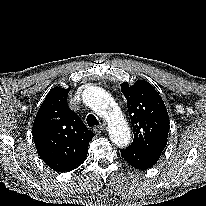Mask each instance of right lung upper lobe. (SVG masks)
Masks as SVG:
<instances>
[{"mask_svg": "<svg viewBox=\"0 0 206 206\" xmlns=\"http://www.w3.org/2000/svg\"><path fill=\"white\" fill-rule=\"evenodd\" d=\"M70 88L54 87L35 117L32 133L38 154L54 171L68 172L87 156L94 133L67 103Z\"/></svg>", "mask_w": 206, "mask_h": 206, "instance_id": "right-lung-upper-lobe-1", "label": "right lung upper lobe"}]
</instances>
